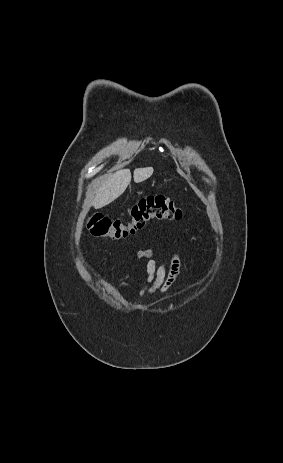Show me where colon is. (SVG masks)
I'll return each mask as SVG.
<instances>
[{
    "label": "colon",
    "instance_id": "obj_1",
    "mask_svg": "<svg viewBox=\"0 0 283 463\" xmlns=\"http://www.w3.org/2000/svg\"><path fill=\"white\" fill-rule=\"evenodd\" d=\"M182 211L162 195L147 196L135 203L126 219H111L93 215L87 228L95 236L119 240L133 235L153 220H179Z\"/></svg>",
    "mask_w": 283,
    "mask_h": 463
}]
</instances>
